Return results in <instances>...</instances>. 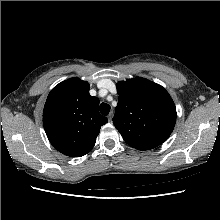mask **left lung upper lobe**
I'll return each mask as SVG.
<instances>
[{
	"mask_svg": "<svg viewBox=\"0 0 220 220\" xmlns=\"http://www.w3.org/2000/svg\"><path fill=\"white\" fill-rule=\"evenodd\" d=\"M113 124L125 142L138 150L162 144L176 123V107L162 86L144 78L118 82Z\"/></svg>",
	"mask_w": 220,
	"mask_h": 220,
	"instance_id": "1",
	"label": "left lung upper lobe"
}]
</instances>
